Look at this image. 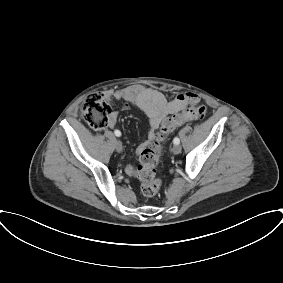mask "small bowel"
Returning a JSON list of instances; mask_svg holds the SVG:
<instances>
[{"label": "small bowel", "mask_w": 283, "mask_h": 283, "mask_svg": "<svg viewBox=\"0 0 283 283\" xmlns=\"http://www.w3.org/2000/svg\"><path fill=\"white\" fill-rule=\"evenodd\" d=\"M104 97L110 102L123 100L125 104L122 109L128 108L129 105H134L148 117L150 130L147 140L138 146V154L154 141L155 131L159 128L166 116L182 110L189 103L199 101V97L194 93H181L174 99L167 100L160 91L139 85L130 86L118 91H106ZM117 119L118 111H112L108 122L110 129L116 128ZM125 171L128 175L133 176L135 174V167L128 165Z\"/></svg>", "instance_id": "c3829d8e"}]
</instances>
